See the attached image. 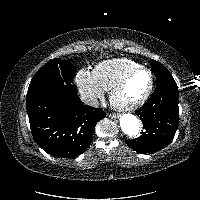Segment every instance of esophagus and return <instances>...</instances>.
I'll list each match as a JSON object with an SVG mask.
<instances>
[{
    "mask_svg": "<svg viewBox=\"0 0 200 200\" xmlns=\"http://www.w3.org/2000/svg\"><path fill=\"white\" fill-rule=\"evenodd\" d=\"M109 116H110L111 118H119V115L116 114V113H111V114H109Z\"/></svg>",
    "mask_w": 200,
    "mask_h": 200,
    "instance_id": "34e87169",
    "label": "esophagus"
}]
</instances>
